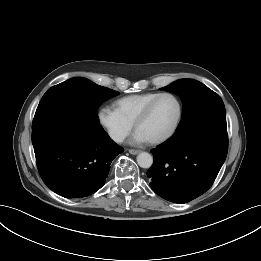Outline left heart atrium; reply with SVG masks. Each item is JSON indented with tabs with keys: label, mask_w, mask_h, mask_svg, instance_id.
Segmentation results:
<instances>
[{
	"label": "left heart atrium",
	"mask_w": 261,
	"mask_h": 261,
	"mask_svg": "<svg viewBox=\"0 0 261 261\" xmlns=\"http://www.w3.org/2000/svg\"><path fill=\"white\" fill-rule=\"evenodd\" d=\"M149 140L139 131H136L133 135L132 142L135 144L146 143Z\"/></svg>",
	"instance_id": "39dd6f15"
}]
</instances>
